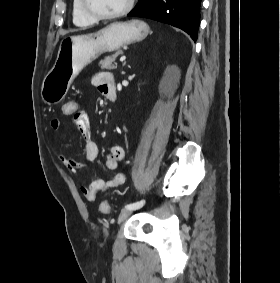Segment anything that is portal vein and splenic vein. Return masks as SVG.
Here are the masks:
<instances>
[{
	"instance_id": "obj_1",
	"label": "portal vein and splenic vein",
	"mask_w": 280,
	"mask_h": 283,
	"mask_svg": "<svg viewBox=\"0 0 280 283\" xmlns=\"http://www.w3.org/2000/svg\"><path fill=\"white\" fill-rule=\"evenodd\" d=\"M125 59H126V56H125V55H123L122 57H120V62H124V61H125Z\"/></svg>"
}]
</instances>
